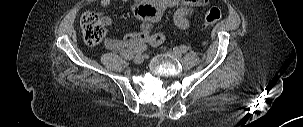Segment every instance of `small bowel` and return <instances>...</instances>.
Masks as SVG:
<instances>
[{"mask_svg":"<svg viewBox=\"0 0 303 127\" xmlns=\"http://www.w3.org/2000/svg\"><path fill=\"white\" fill-rule=\"evenodd\" d=\"M128 2L129 0H120ZM112 0H99L101 7H107ZM206 0H133L132 12L142 22V29L139 32L129 33L124 39H107L105 46L111 50H123L126 47H137L139 45L158 46L163 43L165 35L162 32H155L154 26L161 19L165 11L169 8H176L173 15L174 24L180 29H186L189 24V16L192 9L201 6ZM147 9L152 15L146 14ZM102 22L105 25L111 23V19L107 15L102 16Z\"/></svg>","mask_w":303,"mask_h":127,"instance_id":"1","label":"small bowel"}]
</instances>
